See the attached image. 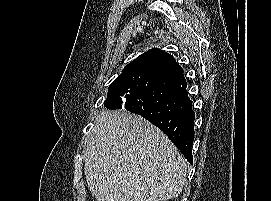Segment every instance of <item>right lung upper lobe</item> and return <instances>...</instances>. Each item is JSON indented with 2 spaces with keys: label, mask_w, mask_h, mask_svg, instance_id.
Masks as SVG:
<instances>
[{
  "label": "right lung upper lobe",
  "mask_w": 271,
  "mask_h": 201,
  "mask_svg": "<svg viewBox=\"0 0 271 201\" xmlns=\"http://www.w3.org/2000/svg\"><path fill=\"white\" fill-rule=\"evenodd\" d=\"M167 55L168 53L161 49H158V48L151 49L141 54L135 60H133L127 66H125L122 73L138 71V70L150 71L153 65H155L158 61H160L162 58H164Z\"/></svg>",
  "instance_id": "obj_1"
}]
</instances>
